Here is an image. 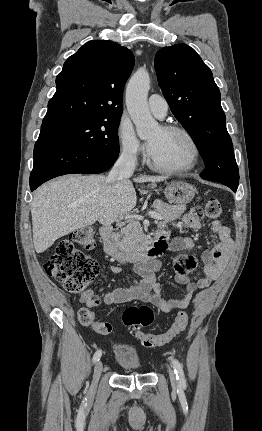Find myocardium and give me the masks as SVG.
I'll return each instance as SVG.
<instances>
[{"instance_id": "1", "label": "myocardium", "mask_w": 262, "mask_h": 431, "mask_svg": "<svg viewBox=\"0 0 262 431\" xmlns=\"http://www.w3.org/2000/svg\"><path fill=\"white\" fill-rule=\"evenodd\" d=\"M160 128L166 132H177L185 136L191 146V156L187 164L183 166L168 167L158 164L156 161L153 160L151 154H149L147 160L148 165L157 171L169 174L186 173L194 169L200 157V148L193 134L185 127L177 124H163L160 126Z\"/></svg>"}]
</instances>
